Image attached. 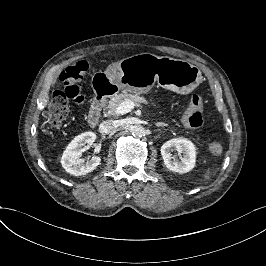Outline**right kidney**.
I'll use <instances>...</instances> for the list:
<instances>
[{"label":"right kidney","mask_w":266,"mask_h":266,"mask_svg":"<svg viewBox=\"0 0 266 266\" xmlns=\"http://www.w3.org/2000/svg\"><path fill=\"white\" fill-rule=\"evenodd\" d=\"M95 140L96 134L94 132H84L75 136L64 151L74 162L75 176L85 175L100 164L101 159L97 156L92 157L86 164H83V160L80 159L83 151L89 149Z\"/></svg>","instance_id":"1"}]
</instances>
